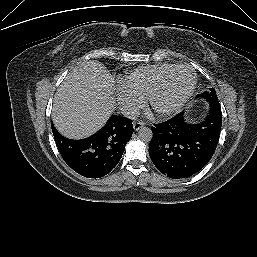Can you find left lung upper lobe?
<instances>
[{"mask_svg": "<svg viewBox=\"0 0 257 257\" xmlns=\"http://www.w3.org/2000/svg\"><path fill=\"white\" fill-rule=\"evenodd\" d=\"M197 97L205 99L208 103H213V104L219 105L216 91L213 88H210L209 91L199 94Z\"/></svg>", "mask_w": 257, "mask_h": 257, "instance_id": "1", "label": "left lung upper lobe"}]
</instances>
